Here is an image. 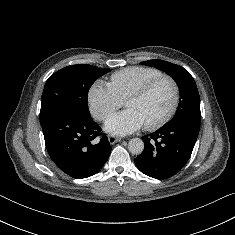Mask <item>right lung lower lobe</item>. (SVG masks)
<instances>
[{"label": "right lung lower lobe", "mask_w": 235, "mask_h": 235, "mask_svg": "<svg viewBox=\"0 0 235 235\" xmlns=\"http://www.w3.org/2000/svg\"><path fill=\"white\" fill-rule=\"evenodd\" d=\"M41 126L49 156L73 178L97 173L110 155L107 137L95 140L101 128L90 116L62 111L41 122Z\"/></svg>", "instance_id": "98d812e1"}]
</instances>
